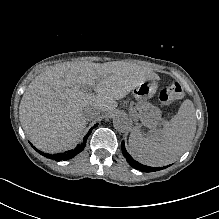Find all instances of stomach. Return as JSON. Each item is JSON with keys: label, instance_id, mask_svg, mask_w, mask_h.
Here are the masks:
<instances>
[{"label": "stomach", "instance_id": "stomach-1", "mask_svg": "<svg viewBox=\"0 0 219 219\" xmlns=\"http://www.w3.org/2000/svg\"><path fill=\"white\" fill-rule=\"evenodd\" d=\"M158 88L156 81H144L133 89V96L138 101V116L142 124L150 129L156 128L161 121L160 109L148 100L154 96Z\"/></svg>", "mask_w": 219, "mask_h": 219}]
</instances>
